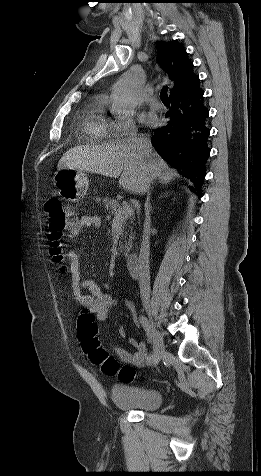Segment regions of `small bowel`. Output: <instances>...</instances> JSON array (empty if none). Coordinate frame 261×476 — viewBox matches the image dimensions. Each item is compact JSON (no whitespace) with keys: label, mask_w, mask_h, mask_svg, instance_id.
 Wrapping results in <instances>:
<instances>
[{"label":"small bowel","mask_w":261,"mask_h":476,"mask_svg":"<svg viewBox=\"0 0 261 476\" xmlns=\"http://www.w3.org/2000/svg\"><path fill=\"white\" fill-rule=\"evenodd\" d=\"M101 226V218L96 215L83 216L77 225L70 231L69 236L75 237L82 230L86 228H99ZM69 260L68 273L70 275L71 290L75 298L79 301L82 307L91 311L96 318V322L106 321L110 310L117 304L118 299L101 291L100 287L92 279H83L81 274V264L79 256L73 250L66 253ZM87 290L88 293H83ZM125 306L131 312H135L134 304L129 301H124ZM118 334L122 338H127L129 344L134 348V351H128L124 348L112 346V351L116 357L125 364L133 366H142L146 359V346L143 342L137 341L134 338L128 337L127 331L124 327L118 329Z\"/></svg>","instance_id":"small-bowel-1"}]
</instances>
